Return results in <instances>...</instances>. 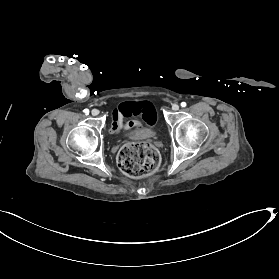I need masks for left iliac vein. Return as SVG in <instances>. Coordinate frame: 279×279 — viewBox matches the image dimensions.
<instances>
[{"instance_id": "left-iliac-vein-1", "label": "left iliac vein", "mask_w": 279, "mask_h": 279, "mask_svg": "<svg viewBox=\"0 0 279 279\" xmlns=\"http://www.w3.org/2000/svg\"><path fill=\"white\" fill-rule=\"evenodd\" d=\"M172 110H174V111L179 110V105L173 104V105H172Z\"/></svg>"}]
</instances>
